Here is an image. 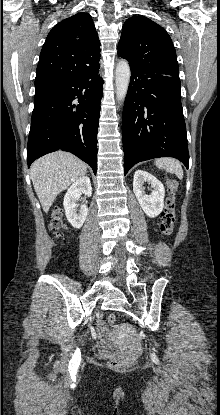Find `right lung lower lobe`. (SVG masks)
I'll return each instance as SVG.
<instances>
[{
    "label": "right lung lower lobe",
    "instance_id": "obj_1",
    "mask_svg": "<svg viewBox=\"0 0 220 415\" xmlns=\"http://www.w3.org/2000/svg\"><path fill=\"white\" fill-rule=\"evenodd\" d=\"M99 68L69 79L34 99L27 144L28 167L57 150L68 151L97 171V132L104 81Z\"/></svg>",
    "mask_w": 220,
    "mask_h": 415
}]
</instances>
